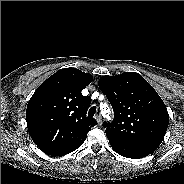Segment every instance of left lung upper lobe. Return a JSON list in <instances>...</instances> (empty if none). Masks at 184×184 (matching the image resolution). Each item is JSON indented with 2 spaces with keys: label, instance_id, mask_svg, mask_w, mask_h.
<instances>
[{
  "label": "left lung upper lobe",
  "instance_id": "1",
  "mask_svg": "<svg viewBox=\"0 0 184 184\" xmlns=\"http://www.w3.org/2000/svg\"><path fill=\"white\" fill-rule=\"evenodd\" d=\"M98 85L114 110L113 121L103 123L107 137L153 153L169 124L167 108L155 89L136 72L102 76Z\"/></svg>",
  "mask_w": 184,
  "mask_h": 184
}]
</instances>
